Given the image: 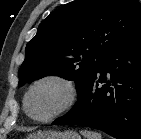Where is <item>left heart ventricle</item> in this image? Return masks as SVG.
I'll return each mask as SVG.
<instances>
[{
	"label": "left heart ventricle",
	"mask_w": 141,
	"mask_h": 139,
	"mask_svg": "<svg viewBox=\"0 0 141 139\" xmlns=\"http://www.w3.org/2000/svg\"><path fill=\"white\" fill-rule=\"evenodd\" d=\"M67 99L65 87L48 81L38 85L29 97V111L38 118H45L59 110Z\"/></svg>",
	"instance_id": "left-heart-ventricle-1"
}]
</instances>
